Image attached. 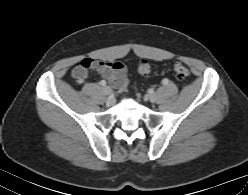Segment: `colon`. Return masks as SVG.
I'll use <instances>...</instances> for the list:
<instances>
[{
	"instance_id": "5ec220e1",
	"label": "colon",
	"mask_w": 248,
	"mask_h": 195,
	"mask_svg": "<svg viewBox=\"0 0 248 195\" xmlns=\"http://www.w3.org/2000/svg\"><path fill=\"white\" fill-rule=\"evenodd\" d=\"M91 67V60L86 59L80 63V68H77L73 71V76L75 77H83L85 75L86 70ZM173 71L176 79L178 81H185L189 76L188 68L182 62H176L173 66ZM138 72L142 76H148L151 72L150 63L147 60H143L138 64ZM128 89V81L123 79L120 81L118 86V91L121 93L126 92Z\"/></svg>"
}]
</instances>
